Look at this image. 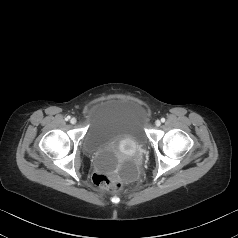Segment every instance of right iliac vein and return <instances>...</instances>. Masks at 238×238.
<instances>
[{"instance_id": "63e3f726", "label": "right iliac vein", "mask_w": 238, "mask_h": 238, "mask_svg": "<svg viewBox=\"0 0 238 238\" xmlns=\"http://www.w3.org/2000/svg\"><path fill=\"white\" fill-rule=\"evenodd\" d=\"M70 122H71V124H76L77 119L73 117V118H71Z\"/></svg>"}]
</instances>
